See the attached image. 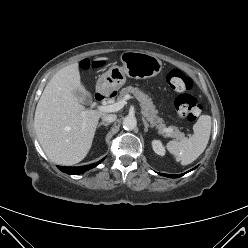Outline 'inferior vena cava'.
<instances>
[{"mask_svg":"<svg viewBox=\"0 0 248 248\" xmlns=\"http://www.w3.org/2000/svg\"><path fill=\"white\" fill-rule=\"evenodd\" d=\"M117 119L115 114H105L102 116V120L107 123L114 122Z\"/></svg>","mask_w":248,"mask_h":248,"instance_id":"obj_1","label":"inferior vena cava"}]
</instances>
